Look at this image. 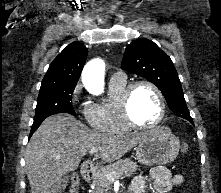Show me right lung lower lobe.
Returning a JSON list of instances; mask_svg holds the SVG:
<instances>
[{
  "mask_svg": "<svg viewBox=\"0 0 221 193\" xmlns=\"http://www.w3.org/2000/svg\"><path fill=\"white\" fill-rule=\"evenodd\" d=\"M43 122L42 121H38V122H34L31 128V132H30V137L31 135L34 133L35 130H37V128L40 126V124Z\"/></svg>",
  "mask_w": 221,
  "mask_h": 193,
  "instance_id": "98d812e1",
  "label": "right lung lower lobe"
}]
</instances>
